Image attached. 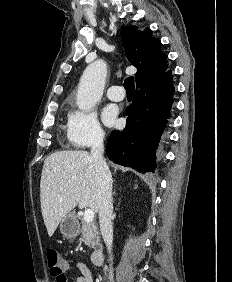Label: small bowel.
I'll list each match as a JSON object with an SVG mask.
<instances>
[{"mask_svg":"<svg viewBox=\"0 0 232 282\" xmlns=\"http://www.w3.org/2000/svg\"><path fill=\"white\" fill-rule=\"evenodd\" d=\"M69 265L67 262H64V270H68ZM76 269L79 272V275L75 278V282H94V275L92 270L82 262L76 264ZM56 282H67L66 275L61 278H55Z\"/></svg>","mask_w":232,"mask_h":282,"instance_id":"c3829d8e","label":"small bowel"}]
</instances>
